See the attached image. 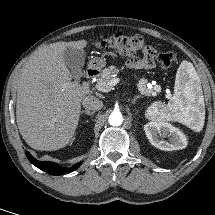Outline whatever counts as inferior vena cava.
<instances>
[{"label":"inferior vena cava","mask_w":215,"mask_h":215,"mask_svg":"<svg viewBox=\"0 0 215 215\" xmlns=\"http://www.w3.org/2000/svg\"><path fill=\"white\" fill-rule=\"evenodd\" d=\"M82 105L86 110L97 111L103 107V102L95 96L88 95L83 99Z\"/></svg>","instance_id":"1"}]
</instances>
